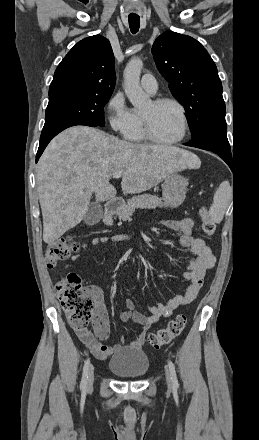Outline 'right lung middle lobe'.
Wrapping results in <instances>:
<instances>
[{
	"label": "right lung middle lobe",
	"instance_id": "dd1d6c3e",
	"mask_svg": "<svg viewBox=\"0 0 259 440\" xmlns=\"http://www.w3.org/2000/svg\"><path fill=\"white\" fill-rule=\"evenodd\" d=\"M111 95L112 93L76 90L50 94L43 128L67 121L105 126L103 108Z\"/></svg>",
	"mask_w": 259,
	"mask_h": 440
}]
</instances>
